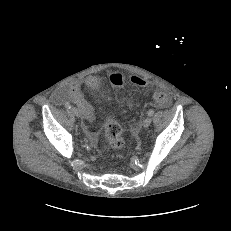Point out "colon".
<instances>
[{
	"label": "colon",
	"mask_w": 231,
	"mask_h": 231,
	"mask_svg": "<svg viewBox=\"0 0 231 231\" xmlns=\"http://www.w3.org/2000/svg\"><path fill=\"white\" fill-rule=\"evenodd\" d=\"M109 81L113 87L119 88L123 85L125 76L121 72H113L109 76ZM131 82L138 86L145 85V81L136 75L131 77ZM154 99L161 105L166 104L168 101V97L164 92H156L154 94ZM104 129L111 149L114 151H120L125 144V140L122 136L121 125L111 116H107L105 119Z\"/></svg>",
	"instance_id": "colon-1"
}]
</instances>
